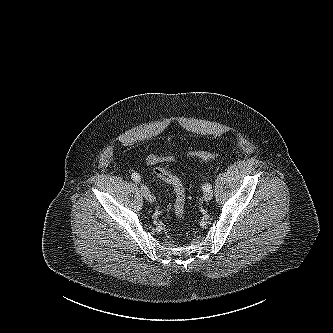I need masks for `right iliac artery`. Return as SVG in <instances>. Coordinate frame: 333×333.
Returning a JSON list of instances; mask_svg holds the SVG:
<instances>
[{
  "label": "right iliac artery",
  "mask_w": 333,
  "mask_h": 333,
  "mask_svg": "<svg viewBox=\"0 0 333 333\" xmlns=\"http://www.w3.org/2000/svg\"><path fill=\"white\" fill-rule=\"evenodd\" d=\"M131 178H132L135 182H140V181H141V178H140L139 174H137V173H133V174L131 175Z\"/></svg>",
  "instance_id": "right-iliac-artery-1"
}]
</instances>
